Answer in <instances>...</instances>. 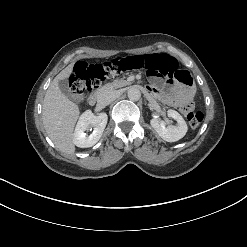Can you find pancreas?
I'll return each instance as SVG.
<instances>
[{
    "label": "pancreas",
    "mask_w": 247,
    "mask_h": 247,
    "mask_svg": "<svg viewBox=\"0 0 247 247\" xmlns=\"http://www.w3.org/2000/svg\"><path fill=\"white\" fill-rule=\"evenodd\" d=\"M130 82L127 81V80H124V79H117V80H114L113 82L111 83H108L104 86H102L99 90H98V93H102L106 90H110V89H117V88H121L123 86H126V85H129Z\"/></svg>",
    "instance_id": "cf45deb5"
}]
</instances>
